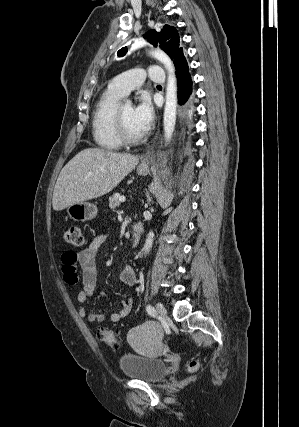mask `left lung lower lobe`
<instances>
[{"label": "left lung lower lobe", "mask_w": 299, "mask_h": 427, "mask_svg": "<svg viewBox=\"0 0 299 427\" xmlns=\"http://www.w3.org/2000/svg\"><path fill=\"white\" fill-rule=\"evenodd\" d=\"M176 76L178 79V101L183 106L185 114V125L188 130L192 129V115L194 106L191 101L192 80L188 71V64L183 55V49L179 48L174 57Z\"/></svg>", "instance_id": "obj_1"}]
</instances>
